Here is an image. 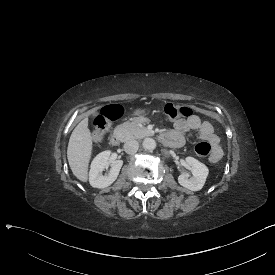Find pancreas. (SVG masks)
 Masks as SVG:
<instances>
[{"mask_svg":"<svg viewBox=\"0 0 275 275\" xmlns=\"http://www.w3.org/2000/svg\"><path fill=\"white\" fill-rule=\"evenodd\" d=\"M140 121L148 122L147 118H135L132 122H125L118 125L114 133L118 135L121 142H126L132 139H142L146 136H151L152 133L144 126H139Z\"/></svg>","mask_w":275,"mask_h":275,"instance_id":"cf45deb5","label":"pancreas"}]
</instances>
